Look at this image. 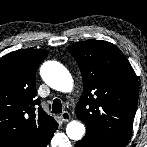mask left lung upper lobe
Returning <instances> with one entry per match:
<instances>
[{"label":"left lung upper lobe","mask_w":147,"mask_h":147,"mask_svg":"<svg viewBox=\"0 0 147 147\" xmlns=\"http://www.w3.org/2000/svg\"><path fill=\"white\" fill-rule=\"evenodd\" d=\"M68 51L83 79L76 115L86 125L85 138L101 147H125L138 101L137 77L129 61L102 40L77 42Z\"/></svg>","instance_id":"left-lung-upper-lobe-1"}]
</instances>
